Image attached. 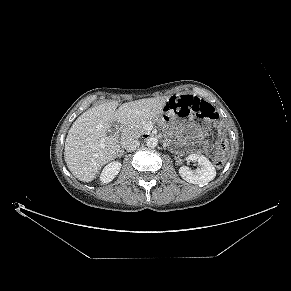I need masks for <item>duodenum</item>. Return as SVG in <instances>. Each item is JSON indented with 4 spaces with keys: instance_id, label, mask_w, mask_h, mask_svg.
<instances>
[{
    "instance_id": "410a0bca",
    "label": "duodenum",
    "mask_w": 291,
    "mask_h": 291,
    "mask_svg": "<svg viewBox=\"0 0 291 291\" xmlns=\"http://www.w3.org/2000/svg\"><path fill=\"white\" fill-rule=\"evenodd\" d=\"M124 144H125V141H122V142H121V146H123Z\"/></svg>"
}]
</instances>
